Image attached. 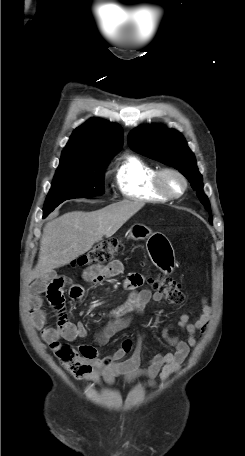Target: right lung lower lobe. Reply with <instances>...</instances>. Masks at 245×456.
Returning <instances> with one entry per match:
<instances>
[{"label": "right lung lower lobe", "instance_id": "1", "mask_svg": "<svg viewBox=\"0 0 245 456\" xmlns=\"http://www.w3.org/2000/svg\"><path fill=\"white\" fill-rule=\"evenodd\" d=\"M47 215H43V217L45 218Z\"/></svg>", "mask_w": 245, "mask_h": 456}]
</instances>
